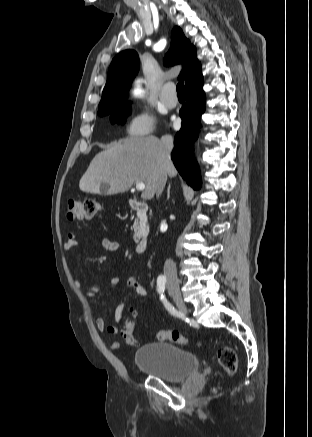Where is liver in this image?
Here are the masks:
<instances>
[{
  "label": "liver",
  "instance_id": "obj_1",
  "mask_svg": "<svg viewBox=\"0 0 312 437\" xmlns=\"http://www.w3.org/2000/svg\"><path fill=\"white\" fill-rule=\"evenodd\" d=\"M161 175H177L170 157L162 153V143L155 136L122 139L98 153L79 182L83 192L101 194V186H109L108 194L127 192L134 182H143L142 198L151 199L156 193Z\"/></svg>",
  "mask_w": 312,
  "mask_h": 437
}]
</instances>
